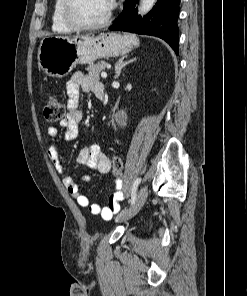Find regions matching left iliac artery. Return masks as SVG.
<instances>
[{
  "mask_svg": "<svg viewBox=\"0 0 247 296\" xmlns=\"http://www.w3.org/2000/svg\"><path fill=\"white\" fill-rule=\"evenodd\" d=\"M140 181H141V179L139 178L133 184L132 192H131V205L134 204V202H135L136 191H137V188H138V185H139Z\"/></svg>",
  "mask_w": 247,
  "mask_h": 296,
  "instance_id": "left-iliac-artery-1",
  "label": "left iliac artery"
}]
</instances>
